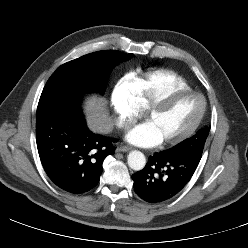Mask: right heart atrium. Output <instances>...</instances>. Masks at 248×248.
<instances>
[{
    "instance_id": "d8ad5b80",
    "label": "right heart atrium",
    "mask_w": 248,
    "mask_h": 248,
    "mask_svg": "<svg viewBox=\"0 0 248 248\" xmlns=\"http://www.w3.org/2000/svg\"><path fill=\"white\" fill-rule=\"evenodd\" d=\"M110 103L115 114V124L120 129L131 127L143 111L133 91L125 82L119 83L113 89Z\"/></svg>"
}]
</instances>
